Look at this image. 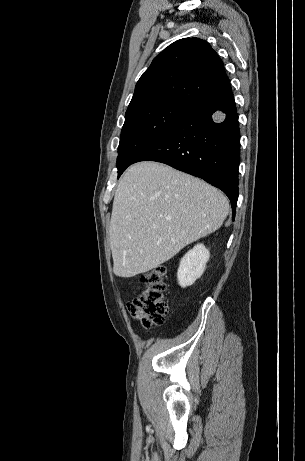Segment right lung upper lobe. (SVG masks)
Listing matches in <instances>:
<instances>
[{"mask_svg": "<svg viewBox=\"0 0 305 461\" xmlns=\"http://www.w3.org/2000/svg\"><path fill=\"white\" fill-rule=\"evenodd\" d=\"M228 82L223 62L207 42L183 38L154 58L138 80L126 114L164 102L190 106Z\"/></svg>", "mask_w": 305, "mask_h": 461, "instance_id": "1", "label": "right lung upper lobe"}]
</instances>
